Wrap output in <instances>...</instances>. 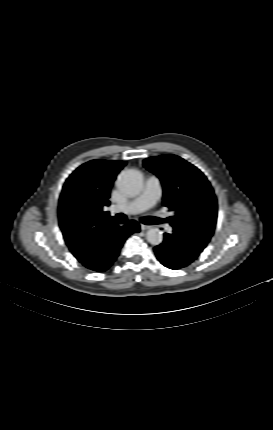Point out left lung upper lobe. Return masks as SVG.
<instances>
[{
	"mask_svg": "<svg viewBox=\"0 0 273 430\" xmlns=\"http://www.w3.org/2000/svg\"><path fill=\"white\" fill-rule=\"evenodd\" d=\"M143 165L163 185V205L174 212L168 218L179 242L202 252L214 233L217 200L205 175L176 155L150 157Z\"/></svg>",
	"mask_w": 273,
	"mask_h": 430,
	"instance_id": "5c2ea615",
	"label": "left lung upper lobe"
}]
</instances>
